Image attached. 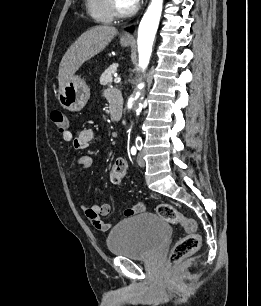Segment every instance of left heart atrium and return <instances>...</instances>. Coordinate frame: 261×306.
Masks as SVG:
<instances>
[{"mask_svg":"<svg viewBox=\"0 0 261 306\" xmlns=\"http://www.w3.org/2000/svg\"><path fill=\"white\" fill-rule=\"evenodd\" d=\"M132 6L136 4L139 0H127Z\"/></svg>","mask_w":261,"mask_h":306,"instance_id":"obj_1","label":"left heart atrium"}]
</instances>
